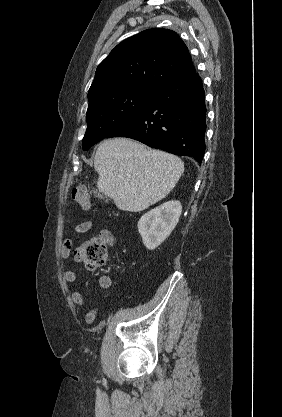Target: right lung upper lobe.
Returning a JSON list of instances; mask_svg holds the SVG:
<instances>
[{
  "label": "right lung upper lobe",
  "instance_id": "cb5924a9",
  "mask_svg": "<svg viewBox=\"0 0 282 417\" xmlns=\"http://www.w3.org/2000/svg\"><path fill=\"white\" fill-rule=\"evenodd\" d=\"M195 72L177 33L148 29L119 43L99 64L88 98L130 88L158 91Z\"/></svg>",
  "mask_w": 282,
  "mask_h": 417
}]
</instances>
